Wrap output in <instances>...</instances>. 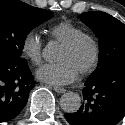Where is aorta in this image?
<instances>
[{
  "mask_svg": "<svg viewBox=\"0 0 125 125\" xmlns=\"http://www.w3.org/2000/svg\"><path fill=\"white\" fill-rule=\"evenodd\" d=\"M42 56L46 61H53L56 58V45L48 43L43 49ZM60 106L67 113H75L81 106V98L75 92H67L60 99Z\"/></svg>",
  "mask_w": 125,
  "mask_h": 125,
  "instance_id": "obj_1",
  "label": "aorta"
}]
</instances>
